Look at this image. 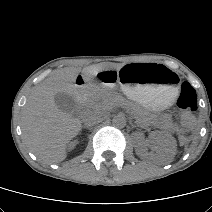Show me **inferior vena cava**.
<instances>
[{
	"label": "inferior vena cava",
	"instance_id": "inferior-vena-cava-1",
	"mask_svg": "<svg viewBox=\"0 0 212 212\" xmlns=\"http://www.w3.org/2000/svg\"><path fill=\"white\" fill-rule=\"evenodd\" d=\"M103 120L102 114L97 110L88 111L83 117V123L87 126H94Z\"/></svg>",
	"mask_w": 212,
	"mask_h": 212
}]
</instances>
